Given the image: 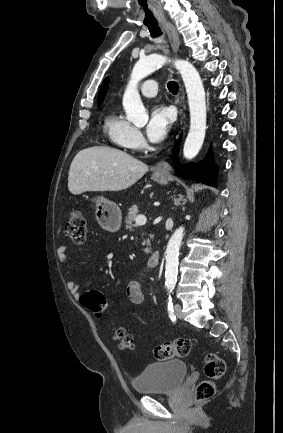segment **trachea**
<instances>
[{"label": "trachea", "mask_w": 283, "mask_h": 433, "mask_svg": "<svg viewBox=\"0 0 283 433\" xmlns=\"http://www.w3.org/2000/svg\"><path fill=\"white\" fill-rule=\"evenodd\" d=\"M147 27L152 38L161 37L162 31L159 25H147ZM167 87L169 89V92L173 93V95H176V93L178 92V84L176 82H168Z\"/></svg>", "instance_id": "obj_1"}]
</instances>
